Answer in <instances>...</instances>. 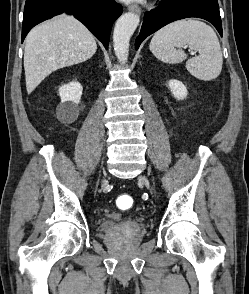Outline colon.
Masks as SVG:
<instances>
[{
  "instance_id": "obj_1",
  "label": "colon",
  "mask_w": 249,
  "mask_h": 294,
  "mask_svg": "<svg viewBox=\"0 0 249 294\" xmlns=\"http://www.w3.org/2000/svg\"><path fill=\"white\" fill-rule=\"evenodd\" d=\"M117 205L120 209H129L134 205V199L130 196L123 195L117 199Z\"/></svg>"
}]
</instances>
